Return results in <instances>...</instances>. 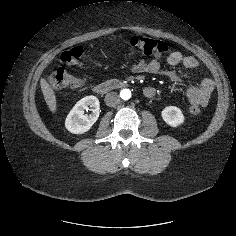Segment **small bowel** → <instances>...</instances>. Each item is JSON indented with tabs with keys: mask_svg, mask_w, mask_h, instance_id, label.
Returning a JSON list of instances; mask_svg holds the SVG:
<instances>
[{
	"mask_svg": "<svg viewBox=\"0 0 236 236\" xmlns=\"http://www.w3.org/2000/svg\"><path fill=\"white\" fill-rule=\"evenodd\" d=\"M166 66L175 67L182 66L186 69H197L199 61L192 56H184L179 51H173L166 57ZM131 70L135 73H149L161 75L171 81L180 82V76L172 70H166L160 62L159 57H155L150 61L139 60L132 64ZM214 90V82L210 78H204L197 86H192L187 90V98L191 106L205 107L209 103L211 94ZM145 96L152 98L155 96L156 90L153 87L145 88Z\"/></svg>",
	"mask_w": 236,
	"mask_h": 236,
	"instance_id": "small-bowel-1",
	"label": "small bowel"
}]
</instances>
